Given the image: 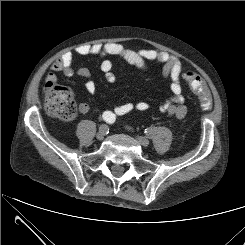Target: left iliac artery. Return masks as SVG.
I'll return each instance as SVG.
<instances>
[{
  "label": "left iliac artery",
  "instance_id": "1",
  "mask_svg": "<svg viewBox=\"0 0 245 245\" xmlns=\"http://www.w3.org/2000/svg\"><path fill=\"white\" fill-rule=\"evenodd\" d=\"M156 132V129L155 128H147L145 129V133L146 135H148L149 137H152Z\"/></svg>",
  "mask_w": 245,
  "mask_h": 245
}]
</instances>
